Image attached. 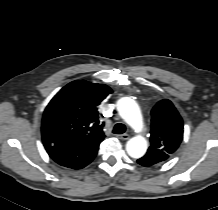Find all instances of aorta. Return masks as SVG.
<instances>
[{"label": "aorta", "mask_w": 218, "mask_h": 210, "mask_svg": "<svg viewBox=\"0 0 218 210\" xmlns=\"http://www.w3.org/2000/svg\"><path fill=\"white\" fill-rule=\"evenodd\" d=\"M117 110L124 121L134 130L143 127V119L136 101L129 97L121 98L117 103ZM148 144L144 137L135 136L126 143V151L132 158H141L146 153Z\"/></svg>", "instance_id": "1"}]
</instances>
